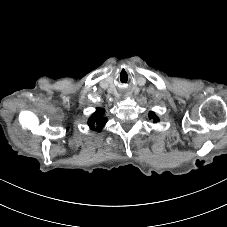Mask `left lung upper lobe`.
I'll return each instance as SVG.
<instances>
[{"instance_id":"1","label":"left lung upper lobe","mask_w":227,"mask_h":227,"mask_svg":"<svg viewBox=\"0 0 227 227\" xmlns=\"http://www.w3.org/2000/svg\"><path fill=\"white\" fill-rule=\"evenodd\" d=\"M150 118H152L154 120V122H158L159 118L155 115L154 112H150L149 113Z\"/></svg>"}]
</instances>
